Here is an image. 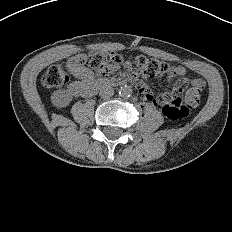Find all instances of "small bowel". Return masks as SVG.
Listing matches in <instances>:
<instances>
[{
  "label": "small bowel",
  "mask_w": 232,
  "mask_h": 232,
  "mask_svg": "<svg viewBox=\"0 0 232 232\" xmlns=\"http://www.w3.org/2000/svg\"><path fill=\"white\" fill-rule=\"evenodd\" d=\"M76 57L70 59L67 63L69 71L76 79L68 85V90L75 96H88L87 88L93 79V73L84 65L77 64L75 61ZM121 68L126 70L125 79L127 81H133L138 90L145 95L146 99L153 102L157 108L162 110V106L158 104L157 98H154L153 94L144 83L138 81L137 76L139 75V68L136 62L132 59H123L121 61ZM168 74L170 80L177 77H184L186 75V69L182 66H171L168 70ZM191 85L203 90L205 82L201 78H194L191 81Z\"/></svg>",
  "instance_id": "obj_1"
}]
</instances>
